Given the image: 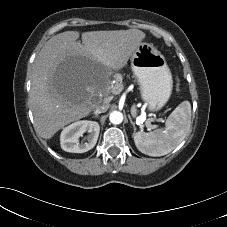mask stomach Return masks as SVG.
Returning <instances> with one entry per match:
<instances>
[{"label":"stomach","instance_id":"obj_1","mask_svg":"<svg viewBox=\"0 0 227 227\" xmlns=\"http://www.w3.org/2000/svg\"><path fill=\"white\" fill-rule=\"evenodd\" d=\"M131 69L148 110H160L169 100L173 87L165 57L151 44L141 42L131 56Z\"/></svg>","mask_w":227,"mask_h":227}]
</instances>
